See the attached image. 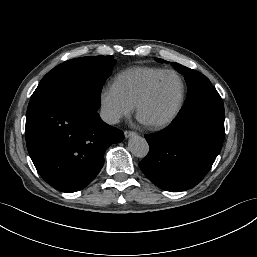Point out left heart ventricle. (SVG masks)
I'll use <instances>...</instances> for the list:
<instances>
[{
	"mask_svg": "<svg viewBox=\"0 0 257 257\" xmlns=\"http://www.w3.org/2000/svg\"><path fill=\"white\" fill-rule=\"evenodd\" d=\"M181 86L174 75L162 77L151 95L141 107L140 116L146 122H158L167 118L179 100Z\"/></svg>",
	"mask_w": 257,
	"mask_h": 257,
	"instance_id": "b2bd125f",
	"label": "left heart ventricle"
}]
</instances>
